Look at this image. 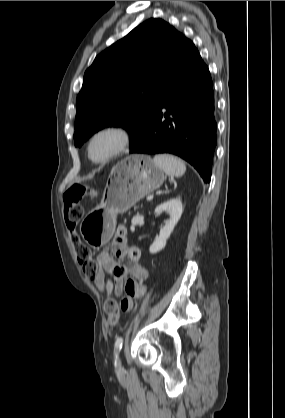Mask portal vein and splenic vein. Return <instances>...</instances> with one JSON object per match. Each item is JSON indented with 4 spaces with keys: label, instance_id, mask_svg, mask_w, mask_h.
<instances>
[{
    "label": "portal vein and splenic vein",
    "instance_id": "1",
    "mask_svg": "<svg viewBox=\"0 0 285 418\" xmlns=\"http://www.w3.org/2000/svg\"><path fill=\"white\" fill-rule=\"evenodd\" d=\"M153 199V195H149L147 198H146V200L147 201H151Z\"/></svg>",
    "mask_w": 285,
    "mask_h": 418
}]
</instances>
